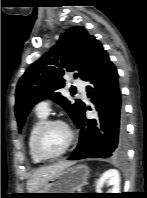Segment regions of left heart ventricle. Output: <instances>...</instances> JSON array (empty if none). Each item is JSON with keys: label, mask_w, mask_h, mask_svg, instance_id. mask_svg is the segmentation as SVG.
<instances>
[{"label": "left heart ventricle", "mask_w": 147, "mask_h": 198, "mask_svg": "<svg viewBox=\"0 0 147 198\" xmlns=\"http://www.w3.org/2000/svg\"><path fill=\"white\" fill-rule=\"evenodd\" d=\"M68 139L66 129L61 125L49 127L41 139V147L48 154H56L65 146Z\"/></svg>", "instance_id": "b2bd125f"}]
</instances>
